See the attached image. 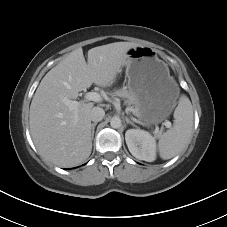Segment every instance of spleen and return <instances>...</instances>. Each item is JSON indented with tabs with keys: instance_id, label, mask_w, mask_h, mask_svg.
I'll list each match as a JSON object with an SVG mask.
<instances>
[{
	"instance_id": "obj_1",
	"label": "spleen",
	"mask_w": 227,
	"mask_h": 227,
	"mask_svg": "<svg viewBox=\"0 0 227 227\" xmlns=\"http://www.w3.org/2000/svg\"><path fill=\"white\" fill-rule=\"evenodd\" d=\"M174 126L159 139L158 150L164 160L179 154L188 144L193 128V107L185 95L179 99L174 111Z\"/></svg>"
}]
</instances>
